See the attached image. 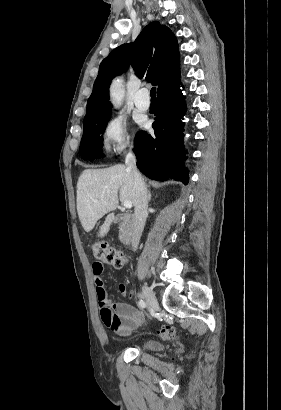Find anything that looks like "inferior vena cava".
<instances>
[{"instance_id":"1","label":"inferior vena cava","mask_w":281,"mask_h":410,"mask_svg":"<svg viewBox=\"0 0 281 410\" xmlns=\"http://www.w3.org/2000/svg\"><path fill=\"white\" fill-rule=\"evenodd\" d=\"M125 164L133 175L136 188L135 220L131 236V248L136 251L147 218L148 193L144 179L136 167V157L133 152L127 154Z\"/></svg>"}]
</instances>
